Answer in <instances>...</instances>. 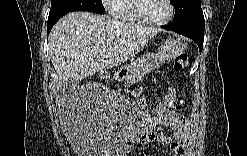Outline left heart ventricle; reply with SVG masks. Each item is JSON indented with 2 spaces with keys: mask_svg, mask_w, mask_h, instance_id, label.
Masks as SVG:
<instances>
[{
  "mask_svg": "<svg viewBox=\"0 0 247 156\" xmlns=\"http://www.w3.org/2000/svg\"><path fill=\"white\" fill-rule=\"evenodd\" d=\"M140 10L144 17L150 19H163L168 14V7L164 0L142 1Z\"/></svg>",
  "mask_w": 247,
  "mask_h": 156,
  "instance_id": "obj_1",
  "label": "left heart ventricle"
}]
</instances>
